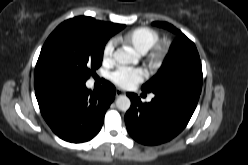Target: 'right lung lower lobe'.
I'll use <instances>...</instances> for the list:
<instances>
[{
	"label": "right lung lower lobe",
	"mask_w": 248,
	"mask_h": 165,
	"mask_svg": "<svg viewBox=\"0 0 248 165\" xmlns=\"http://www.w3.org/2000/svg\"><path fill=\"white\" fill-rule=\"evenodd\" d=\"M35 93L41 114L52 131L65 141L80 143L99 133L116 89L108 81L99 91L92 92L85 84L47 82Z\"/></svg>",
	"instance_id": "right-lung-lower-lobe-1"
}]
</instances>
